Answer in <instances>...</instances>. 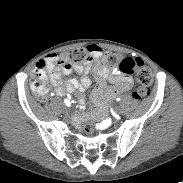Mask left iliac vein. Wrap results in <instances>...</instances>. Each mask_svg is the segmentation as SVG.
Here are the masks:
<instances>
[{"label": "left iliac vein", "mask_w": 183, "mask_h": 183, "mask_svg": "<svg viewBox=\"0 0 183 183\" xmlns=\"http://www.w3.org/2000/svg\"><path fill=\"white\" fill-rule=\"evenodd\" d=\"M114 111H115L116 114H119V115L122 113V109H121V107H119V106H116V107L114 108Z\"/></svg>", "instance_id": "1"}]
</instances>
